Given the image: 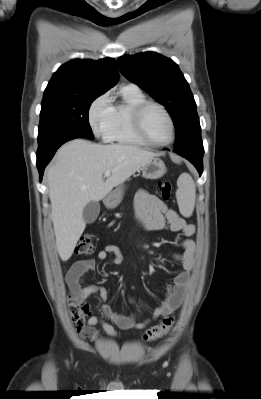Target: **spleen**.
I'll list each match as a JSON object with an SVG mask.
<instances>
[{
    "label": "spleen",
    "mask_w": 261,
    "mask_h": 399,
    "mask_svg": "<svg viewBox=\"0 0 261 399\" xmlns=\"http://www.w3.org/2000/svg\"><path fill=\"white\" fill-rule=\"evenodd\" d=\"M178 190L176 192V199L178 202L180 213L184 217H190L195 206L196 188L192 177L183 173L179 176Z\"/></svg>",
    "instance_id": "obj_1"
}]
</instances>
